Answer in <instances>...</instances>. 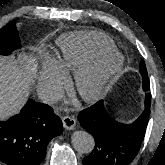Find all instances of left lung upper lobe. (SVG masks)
<instances>
[{"label": "left lung upper lobe", "mask_w": 165, "mask_h": 165, "mask_svg": "<svg viewBox=\"0 0 165 165\" xmlns=\"http://www.w3.org/2000/svg\"><path fill=\"white\" fill-rule=\"evenodd\" d=\"M139 71H140V73L142 75V79H143V89H144V91H149L150 90V82H149L145 62L143 60L140 62ZM145 102L150 105L151 94L146 96Z\"/></svg>", "instance_id": "1"}]
</instances>
